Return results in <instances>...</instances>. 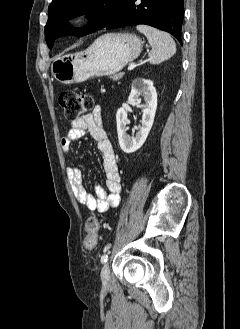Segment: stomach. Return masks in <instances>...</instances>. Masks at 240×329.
Wrapping results in <instances>:
<instances>
[{
    "mask_svg": "<svg viewBox=\"0 0 240 329\" xmlns=\"http://www.w3.org/2000/svg\"><path fill=\"white\" fill-rule=\"evenodd\" d=\"M141 50L142 41L136 35L108 33L84 51L56 57L51 64V72L60 83H81L119 72L136 59Z\"/></svg>",
    "mask_w": 240,
    "mask_h": 329,
    "instance_id": "stomach-1",
    "label": "stomach"
}]
</instances>
